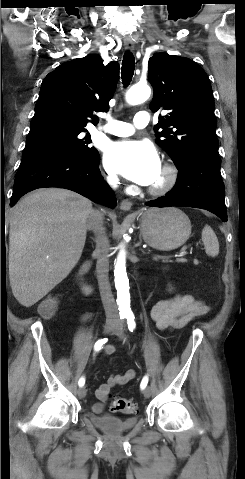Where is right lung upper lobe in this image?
Segmentation results:
<instances>
[{"instance_id": "obj_1", "label": "right lung upper lobe", "mask_w": 245, "mask_h": 479, "mask_svg": "<svg viewBox=\"0 0 245 479\" xmlns=\"http://www.w3.org/2000/svg\"><path fill=\"white\" fill-rule=\"evenodd\" d=\"M118 81V64H103L99 55L65 62L49 73L40 89L30 128L64 125L85 129L107 111ZM90 119V120H89Z\"/></svg>"}]
</instances>
